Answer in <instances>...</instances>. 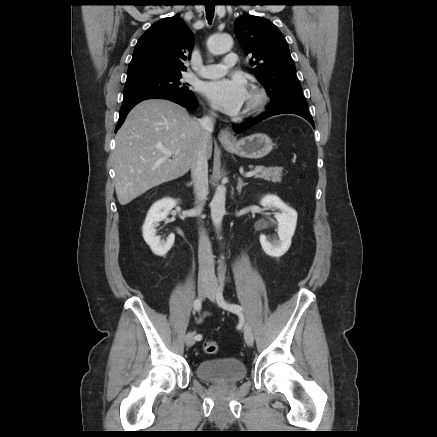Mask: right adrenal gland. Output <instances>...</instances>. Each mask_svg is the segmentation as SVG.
Returning <instances> with one entry per match:
<instances>
[{
  "mask_svg": "<svg viewBox=\"0 0 437 437\" xmlns=\"http://www.w3.org/2000/svg\"><path fill=\"white\" fill-rule=\"evenodd\" d=\"M187 186H191V183L187 184Z\"/></svg>",
  "mask_w": 437,
  "mask_h": 437,
  "instance_id": "right-adrenal-gland-1",
  "label": "right adrenal gland"
}]
</instances>
